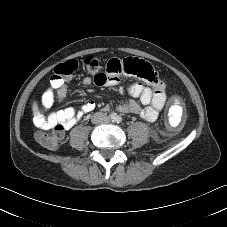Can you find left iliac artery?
<instances>
[{"instance_id": "left-iliac-artery-1", "label": "left iliac artery", "mask_w": 227, "mask_h": 227, "mask_svg": "<svg viewBox=\"0 0 227 227\" xmlns=\"http://www.w3.org/2000/svg\"><path fill=\"white\" fill-rule=\"evenodd\" d=\"M115 121H116L117 123H121V122H122V117H121V116H116Z\"/></svg>"}]
</instances>
